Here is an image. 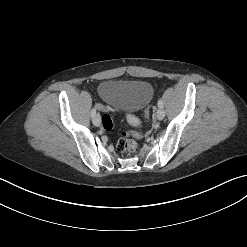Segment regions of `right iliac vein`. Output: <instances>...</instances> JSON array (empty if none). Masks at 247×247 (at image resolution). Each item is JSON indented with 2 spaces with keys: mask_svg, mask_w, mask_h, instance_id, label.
I'll return each mask as SVG.
<instances>
[{
  "mask_svg": "<svg viewBox=\"0 0 247 247\" xmlns=\"http://www.w3.org/2000/svg\"><path fill=\"white\" fill-rule=\"evenodd\" d=\"M93 124L95 126H99L101 124V118H100V115L99 114H97V115L94 116V118H93Z\"/></svg>",
  "mask_w": 247,
  "mask_h": 247,
  "instance_id": "63e3f726",
  "label": "right iliac vein"
}]
</instances>
